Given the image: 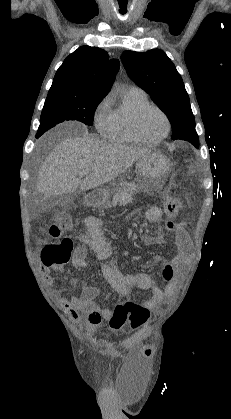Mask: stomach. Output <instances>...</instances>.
I'll return each instance as SVG.
<instances>
[{"mask_svg": "<svg viewBox=\"0 0 231 419\" xmlns=\"http://www.w3.org/2000/svg\"><path fill=\"white\" fill-rule=\"evenodd\" d=\"M137 168L142 177L141 188L149 193H154L164 184L170 171V162L164 154L150 152L139 159ZM112 191L109 189L99 190L89 197L88 201L93 205L104 204Z\"/></svg>", "mask_w": 231, "mask_h": 419, "instance_id": "1", "label": "stomach"}]
</instances>
